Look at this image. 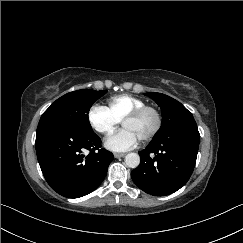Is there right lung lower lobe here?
Returning <instances> with one entry per match:
<instances>
[{
    "mask_svg": "<svg viewBox=\"0 0 243 243\" xmlns=\"http://www.w3.org/2000/svg\"><path fill=\"white\" fill-rule=\"evenodd\" d=\"M100 143L94 132L62 127L38 131L37 158L52 189L67 198H79L95 190L114 158Z\"/></svg>",
    "mask_w": 243,
    "mask_h": 243,
    "instance_id": "98d812e1",
    "label": "right lung lower lobe"
}]
</instances>
